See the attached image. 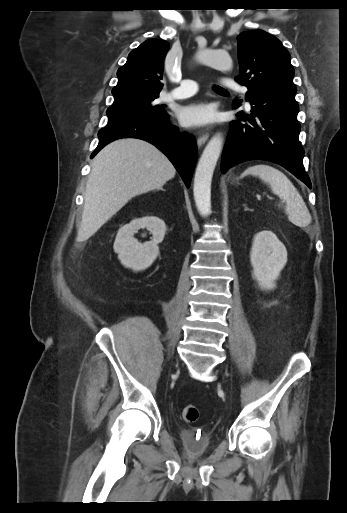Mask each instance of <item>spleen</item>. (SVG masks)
<instances>
[{
    "instance_id": "spleen-1",
    "label": "spleen",
    "mask_w": 347,
    "mask_h": 513,
    "mask_svg": "<svg viewBox=\"0 0 347 513\" xmlns=\"http://www.w3.org/2000/svg\"><path fill=\"white\" fill-rule=\"evenodd\" d=\"M244 175L258 176L267 183L272 192L286 203L285 212L291 222L300 227L309 225L311 222L309 210L296 187L282 171L267 164H257L249 167Z\"/></svg>"
}]
</instances>
